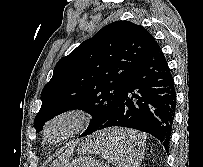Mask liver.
Instances as JSON below:
<instances>
[{"mask_svg":"<svg viewBox=\"0 0 203 167\" xmlns=\"http://www.w3.org/2000/svg\"><path fill=\"white\" fill-rule=\"evenodd\" d=\"M145 135L139 133L134 130L129 129H116L110 132L103 139H117L125 143L128 148H135L137 146L138 141L144 137ZM69 159L66 157L60 158L59 160H55L50 167H67Z\"/></svg>","mask_w":203,"mask_h":167,"instance_id":"6515ba94","label":"liver"}]
</instances>
